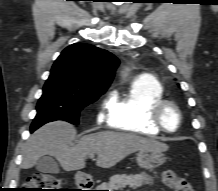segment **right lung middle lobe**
<instances>
[{"label":"right lung middle lobe","mask_w":218,"mask_h":191,"mask_svg":"<svg viewBox=\"0 0 218 191\" xmlns=\"http://www.w3.org/2000/svg\"><path fill=\"white\" fill-rule=\"evenodd\" d=\"M103 93L78 89L63 77L51 73L37 103V115L31 129L35 131L43 124L55 120H65L77 125L80 111Z\"/></svg>","instance_id":"obj_1"}]
</instances>
